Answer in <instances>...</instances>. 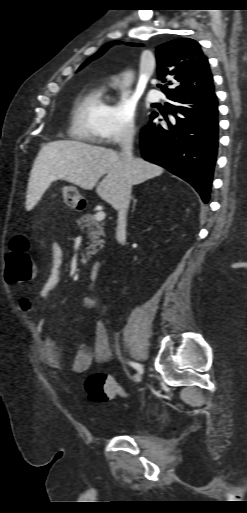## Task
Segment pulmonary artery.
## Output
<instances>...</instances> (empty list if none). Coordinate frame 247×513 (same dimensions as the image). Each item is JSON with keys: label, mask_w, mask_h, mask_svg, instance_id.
I'll list each match as a JSON object with an SVG mask.
<instances>
[{"label": "pulmonary artery", "mask_w": 247, "mask_h": 513, "mask_svg": "<svg viewBox=\"0 0 247 513\" xmlns=\"http://www.w3.org/2000/svg\"><path fill=\"white\" fill-rule=\"evenodd\" d=\"M160 93L157 90H151L148 93V98L151 102H157L160 100Z\"/></svg>", "instance_id": "e3ab8cb5"}]
</instances>
